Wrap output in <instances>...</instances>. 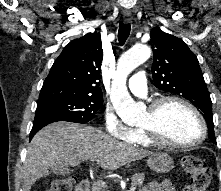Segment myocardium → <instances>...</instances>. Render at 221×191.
Listing matches in <instances>:
<instances>
[{"instance_id": "obj_1", "label": "myocardium", "mask_w": 221, "mask_h": 191, "mask_svg": "<svg viewBox=\"0 0 221 191\" xmlns=\"http://www.w3.org/2000/svg\"><path fill=\"white\" fill-rule=\"evenodd\" d=\"M168 103L180 104L181 106L188 109L196 117L200 126V135L195 141L187 143H175L167 141L163 138L160 131L159 119L162 109ZM148 112L152 118V123L148 126H140V129L145 133L147 139L154 146L177 149L192 148L201 144L207 136V125L202 114L192 103L185 100L184 98L174 95L162 96L151 103Z\"/></svg>"}]
</instances>
